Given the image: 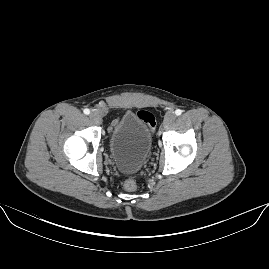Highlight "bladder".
I'll use <instances>...</instances> for the list:
<instances>
[{
    "instance_id": "1",
    "label": "bladder",
    "mask_w": 269,
    "mask_h": 269,
    "mask_svg": "<svg viewBox=\"0 0 269 269\" xmlns=\"http://www.w3.org/2000/svg\"><path fill=\"white\" fill-rule=\"evenodd\" d=\"M149 122L134 111H125L108 134V150L115 166L123 173L141 169L153 149Z\"/></svg>"
}]
</instances>
